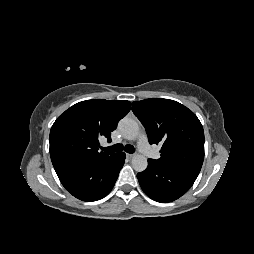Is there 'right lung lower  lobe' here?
I'll return each instance as SVG.
<instances>
[{"label":"right lung lower lobe","mask_w":254,"mask_h":254,"mask_svg":"<svg viewBox=\"0 0 254 254\" xmlns=\"http://www.w3.org/2000/svg\"><path fill=\"white\" fill-rule=\"evenodd\" d=\"M125 161V153L98 160H72L54 166L64 188L83 201H96L112 190Z\"/></svg>","instance_id":"obj_1"}]
</instances>
